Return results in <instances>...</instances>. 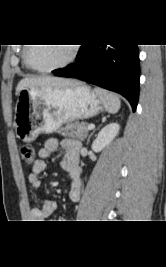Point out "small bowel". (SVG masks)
<instances>
[{
	"instance_id": "c3829d8e",
	"label": "small bowel",
	"mask_w": 166,
	"mask_h": 267,
	"mask_svg": "<svg viewBox=\"0 0 166 267\" xmlns=\"http://www.w3.org/2000/svg\"><path fill=\"white\" fill-rule=\"evenodd\" d=\"M58 148L64 150V157L61 161V167L70 174L71 187L69 190V198L76 202L80 199L81 185V168L79 166V150L81 143L77 139L67 138L62 141L56 138H50L45 145L38 151V159L31 166L29 174V183L34 189L41 187L40 175L46 169L45 159L49 157ZM57 210V203L50 199L42 201L40 207L33 208L30 212V218L35 222H42L51 216Z\"/></svg>"
}]
</instances>
